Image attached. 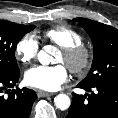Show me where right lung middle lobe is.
<instances>
[{
    "instance_id": "right-lung-middle-lobe-1",
    "label": "right lung middle lobe",
    "mask_w": 118,
    "mask_h": 118,
    "mask_svg": "<svg viewBox=\"0 0 118 118\" xmlns=\"http://www.w3.org/2000/svg\"><path fill=\"white\" fill-rule=\"evenodd\" d=\"M35 26L0 21V77H10L19 73L15 58L17 43Z\"/></svg>"
}]
</instances>
